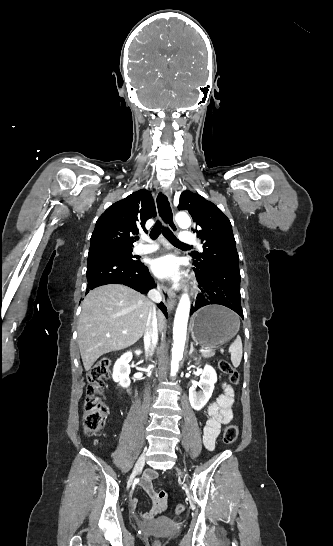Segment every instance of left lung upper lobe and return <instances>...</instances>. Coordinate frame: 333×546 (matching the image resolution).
<instances>
[{
    "instance_id": "left-lung-upper-lobe-1",
    "label": "left lung upper lobe",
    "mask_w": 333,
    "mask_h": 546,
    "mask_svg": "<svg viewBox=\"0 0 333 546\" xmlns=\"http://www.w3.org/2000/svg\"><path fill=\"white\" fill-rule=\"evenodd\" d=\"M178 209L190 213L196 224L194 231L203 244L202 253L191 254L196 271L239 266L231 223L215 204L199 194L183 191Z\"/></svg>"
}]
</instances>
